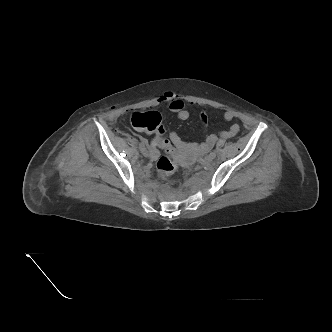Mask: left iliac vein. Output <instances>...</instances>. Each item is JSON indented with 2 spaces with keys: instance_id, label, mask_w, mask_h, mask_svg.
<instances>
[{
  "instance_id": "left-iliac-vein-1",
  "label": "left iliac vein",
  "mask_w": 332,
  "mask_h": 332,
  "mask_svg": "<svg viewBox=\"0 0 332 332\" xmlns=\"http://www.w3.org/2000/svg\"><path fill=\"white\" fill-rule=\"evenodd\" d=\"M213 159H214V158H213L212 156L207 155V156L204 158V162L208 164V163H211Z\"/></svg>"
}]
</instances>
